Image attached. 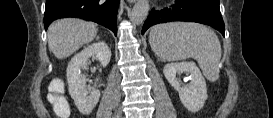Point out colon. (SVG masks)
<instances>
[{"label": "colon", "instance_id": "5ec220e1", "mask_svg": "<svg viewBox=\"0 0 273 118\" xmlns=\"http://www.w3.org/2000/svg\"><path fill=\"white\" fill-rule=\"evenodd\" d=\"M61 84L55 82L50 86L49 102L52 104L54 111L60 117H68L70 109L64 96L61 95Z\"/></svg>", "mask_w": 273, "mask_h": 118}]
</instances>
